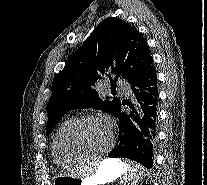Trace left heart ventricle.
Returning a JSON list of instances; mask_svg holds the SVG:
<instances>
[{"instance_id":"b2bd125f","label":"left heart ventricle","mask_w":207,"mask_h":185,"mask_svg":"<svg viewBox=\"0 0 207 185\" xmlns=\"http://www.w3.org/2000/svg\"><path fill=\"white\" fill-rule=\"evenodd\" d=\"M73 142L78 148L99 152L105 150L111 142L109 126L104 121L89 120L81 123L75 130Z\"/></svg>"}]
</instances>
